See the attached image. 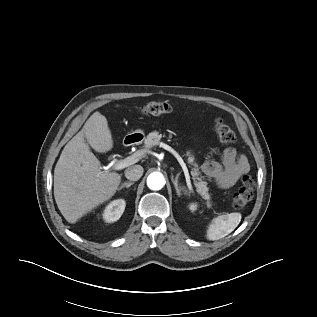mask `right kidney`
<instances>
[{
	"mask_svg": "<svg viewBox=\"0 0 317 317\" xmlns=\"http://www.w3.org/2000/svg\"><path fill=\"white\" fill-rule=\"evenodd\" d=\"M126 203L124 199H117L112 201L102 212L103 219L108 222L117 221L125 210Z\"/></svg>",
	"mask_w": 317,
	"mask_h": 317,
	"instance_id": "obj_1",
	"label": "right kidney"
}]
</instances>
